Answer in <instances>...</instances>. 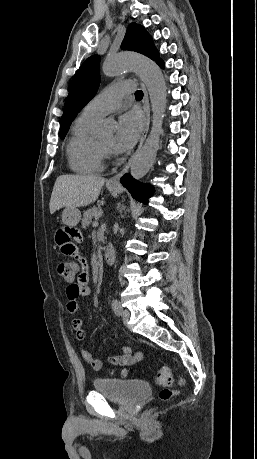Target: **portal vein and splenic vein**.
Wrapping results in <instances>:
<instances>
[{"label": "portal vein and splenic vein", "instance_id": "1", "mask_svg": "<svg viewBox=\"0 0 257 459\" xmlns=\"http://www.w3.org/2000/svg\"><path fill=\"white\" fill-rule=\"evenodd\" d=\"M102 214H103V212L100 211V213H99L98 217L95 219V222L93 223V225H98V219H99L100 216H102Z\"/></svg>", "mask_w": 257, "mask_h": 459}]
</instances>
